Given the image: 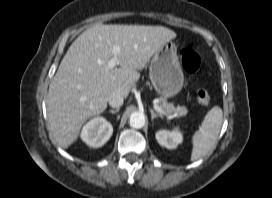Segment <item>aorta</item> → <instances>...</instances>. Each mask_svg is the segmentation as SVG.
Listing matches in <instances>:
<instances>
[{"label": "aorta", "mask_w": 272, "mask_h": 198, "mask_svg": "<svg viewBox=\"0 0 272 198\" xmlns=\"http://www.w3.org/2000/svg\"><path fill=\"white\" fill-rule=\"evenodd\" d=\"M129 124L132 128L140 129L145 125V116L141 112H133L130 115Z\"/></svg>", "instance_id": "762f6f07"}]
</instances>
